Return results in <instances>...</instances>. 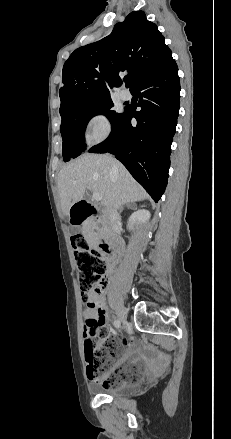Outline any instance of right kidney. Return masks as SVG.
<instances>
[{
	"instance_id": "1",
	"label": "right kidney",
	"mask_w": 231,
	"mask_h": 439,
	"mask_svg": "<svg viewBox=\"0 0 231 439\" xmlns=\"http://www.w3.org/2000/svg\"><path fill=\"white\" fill-rule=\"evenodd\" d=\"M149 218H150V212L149 211H147V210H138V211L134 212L131 215V217L129 219V222L131 224L136 223V222H138V223H145L147 220H149Z\"/></svg>"
}]
</instances>
